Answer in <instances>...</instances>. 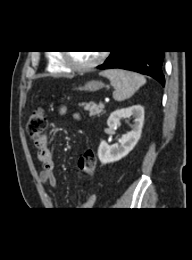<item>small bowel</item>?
I'll list each match as a JSON object with an SVG mask.
<instances>
[{
  "label": "small bowel",
  "instance_id": "1",
  "mask_svg": "<svg viewBox=\"0 0 192 260\" xmlns=\"http://www.w3.org/2000/svg\"><path fill=\"white\" fill-rule=\"evenodd\" d=\"M65 107L60 108L61 113H65ZM75 118H78L75 115ZM37 147V157L41 163L42 170L39 174V179L43 184H49L52 187H56L58 185L57 177L54 173L55 162L53 158V153L50 148L49 138L44 136L42 139L35 143ZM97 200L96 194H91L80 206V210H90L94 207Z\"/></svg>",
  "mask_w": 192,
  "mask_h": 260
}]
</instances>
